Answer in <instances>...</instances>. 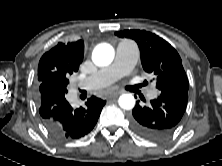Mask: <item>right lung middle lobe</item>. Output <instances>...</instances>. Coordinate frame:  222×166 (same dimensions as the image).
Returning <instances> with one entry per match:
<instances>
[{"label": "right lung middle lobe", "instance_id": "1", "mask_svg": "<svg viewBox=\"0 0 222 166\" xmlns=\"http://www.w3.org/2000/svg\"><path fill=\"white\" fill-rule=\"evenodd\" d=\"M79 63L66 59L40 60L38 82L52 81L66 88L69 76L78 70Z\"/></svg>", "mask_w": 222, "mask_h": 166}]
</instances>
